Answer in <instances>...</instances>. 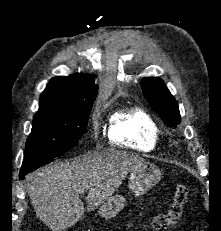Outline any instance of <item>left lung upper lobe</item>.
Wrapping results in <instances>:
<instances>
[{"label":"left lung upper lobe","instance_id":"left-lung-upper-lobe-1","mask_svg":"<svg viewBox=\"0 0 221 231\" xmlns=\"http://www.w3.org/2000/svg\"><path fill=\"white\" fill-rule=\"evenodd\" d=\"M141 87L152 109L168 126H176L180 123L178 104L160 78L145 77L141 81Z\"/></svg>","mask_w":221,"mask_h":231}]
</instances>
